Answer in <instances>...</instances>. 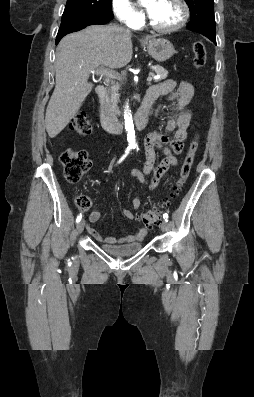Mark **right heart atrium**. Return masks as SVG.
Segmentation results:
<instances>
[{
    "instance_id": "right-heart-atrium-1",
    "label": "right heart atrium",
    "mask_w": 254,
    "mask_h": 397,
    "mask_svg": "<svg viewBox=\"0 0 254 397\" xmlns=\"http://www.w3.org/2000/svg\"><path fill=\"white\" fill-rule=\"evenodd\" d=\"M112 9L117 19L130 28L139 27L144 20L143 14L129 0H113Z\"/></svg>"
}]
</instances>
